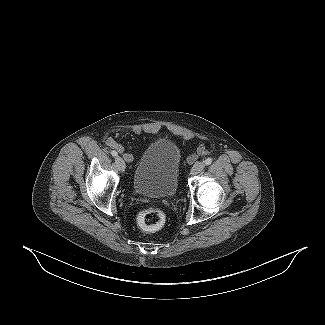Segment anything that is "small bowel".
<instances>
[{
    "mask_svg": "<svg viewBox=\"0 0 325 325\" xmlns=\"http://www.w3.org/2000/svg\"><path fill=\"white\" fill-rule=\"evenodd\" d=\"M106 144H107L108 147H110L112 149H115L118 152H120L126 162H132L133 161V159H134L133 155L131 153H129V152H126L124 150V146L120 142L116 141L113 138H108L106 140ZM191 159H195V155H192Z\"/></svg>",
    "mask_w": 325,
    "mask_h": 325,
    "instance_id": "small-bowel-1",
    "label": "small bowel"
}]
</instances>
